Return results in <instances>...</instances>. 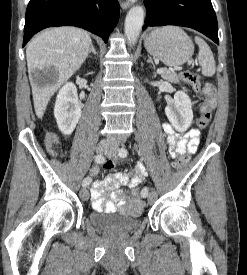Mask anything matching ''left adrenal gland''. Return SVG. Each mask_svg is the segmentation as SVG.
<instances>
[{"label":"left adrenal gland","instance_id":"1","mask_svg":"<svg viewBox=\"0 0 247 275\" xmlns=\"http://www.w3.org/2000/svg\"><path fill=\"white\" fill-rule=\"evenodd\" d=\"M148 63H151V65L153 66V68L155 69V65L152 61V58L150 56H148V60H147Z\"/></svg>","mask_w":247,"mask_h":275}]
</instances>
